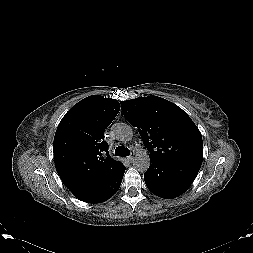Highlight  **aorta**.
<instances>
[{"label":"aorta","instance_id":"obj_1","mask_svg":"<svg viewBox=\"0 0 253 253\" xmlns=\"http://www.w3.org/2000/svg\"><path fill=\"white\" fill-rule=\"evenodd\" d=\"M116 139L128 142L133 137V129L126 123H118L113 127ZM134 166L140 171H146L150 166V158L147 153H138L134 157Z\"/></svg>","mask_w":253,"mask_h":253}]
</instances>
